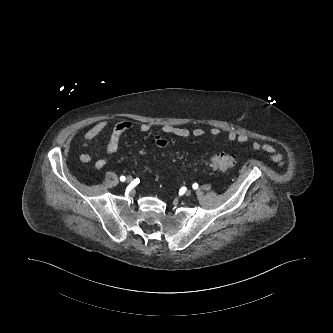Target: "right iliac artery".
<instances>
[{"mask_svg": "<svg viewBox=\"0 0 333 333\" xmlns=\"http://www.w3.org/2000/svg\"><path fill=\"white\" fill-rule=\"evenodd\" d=\"M125 179H126L125 176H121V177H120V180H121L122 182L125 181Z\"/></svg>", "mask_w": 333, "mask_h": 333, "instance_id": "obj_1", "label": "right iliac artery"}]
</instances>
